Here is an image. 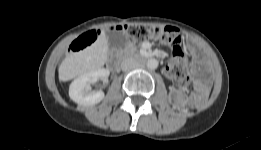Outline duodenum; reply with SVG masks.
<instances>
[{
    "mask_svg": "<svg viewBox=\"0 0 261 150\" xmlns=\"http://www.w3.org/2000/svg\"><path fill=\"white\" fill-rule=\"evenodd\" d=\"M110 66L113 70H117L118 67H119V59L118 57H113L111 60H110Z\"/></svg>",
    "mask_w": 261,
    "mask_h": 150,
    "instance_id": "obj_1",
    "label": "duodenum"
}]
</instances>
